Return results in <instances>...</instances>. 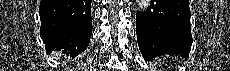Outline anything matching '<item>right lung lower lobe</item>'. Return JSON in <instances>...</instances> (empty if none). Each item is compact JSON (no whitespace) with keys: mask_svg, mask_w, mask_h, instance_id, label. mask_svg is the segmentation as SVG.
<instances>
[{"mask_svg":"<svg viewBox=\"0 0 230 71\" xmlns=\"http://www.w3.org/2000/svg\"><path fill=\"white\" fill-rule=\"evenodd\" d=\"M92 0H42L40 36L47 53L62 50L70 57L81 54L92 35Z\"/></svg>","mask_w":230,"mask_h":71,"instance_id":"1","label":"right lung lower lobe"}]
</instances>
